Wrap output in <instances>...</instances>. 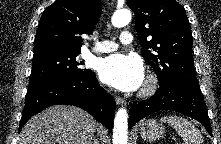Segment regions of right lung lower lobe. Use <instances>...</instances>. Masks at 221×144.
I'll use <instances>...</instances> for the list:
<instances>
[{"instance_id":"1","label":"right lung lower lobe","mask_w":221,"mask_h":144,"mask_svg":"<svg viewBox=\"0 0 221 144\" xmlns=\"http://www.w3.org/2000/svg\"><path fill=\"white\" fill-rule=\"evenodd\" d=\"M52 105H73L90 113L112 131L116 103L94 74L60 77L27 90L19 130L35 114Z\"/></svg>"}]
</instances>
